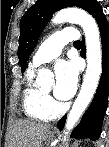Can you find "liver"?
<instances>
[{
    "label": "liver",
    "instance_id": "liver-1",
    "mask_svg": "<svg viewBox=\"0 0 109 147\" xmlns=\"http://www.w3.org/2000/svg\"><path fill=\"white\" fill-rule=\"evenodd\" d=\"M52 128L50 124L30 120H16L8 147H41L47 132Z\"/></svg>",
    "mask_w": 109,
    "mask_h": 147
}]
</instances>
